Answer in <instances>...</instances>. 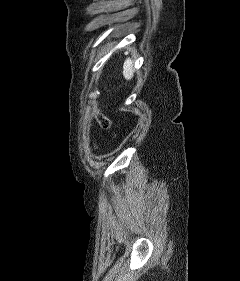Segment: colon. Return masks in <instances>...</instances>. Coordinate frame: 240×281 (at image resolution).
Here are the masks:
<instances>
[{
    "instance_id": "5ec220e1",
    "label": "colon",
    "mask_w": 240,
    "mask_h": 281,
    "mask_svg": "<svg viewBox=\"0 0 240 281\" xmlns=\"http://www.w3.org/2000/svg\"><path fill=\"white\" fill-rule=\"evenodd\" d=\"M98 122L100 124V126L104 129V130H111L112 128V123L111 121L105 117V116H99L98 117Z\"/></svg>"
}]
</instances>
